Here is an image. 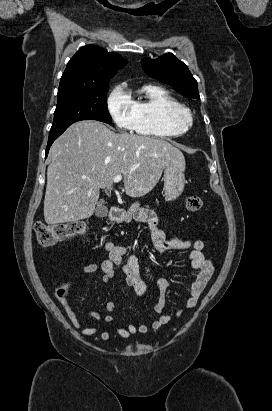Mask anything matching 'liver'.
I'll return each mask as SVG.
<instances>
[{
  "mask_svg": "<svg viewBox=\"0 0 272 411\" xmlns=\"http://www.w3.org/2000/svg\"><path fill=\"white\" fill-rule=\"evenodd\" d=\"M44 219L76 222L93 215L99 191L124 175L130 197L149 193L170 164L185 170L183 153L162 139L117 134L97 121L72 124L50 149Z\"/></svg>",
  "mask_w": 272,
  "mask_h": 411,
  "instance_id": "6515ba94",
  "label": "liver"
}]
</instances>
